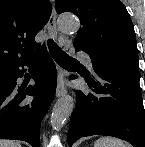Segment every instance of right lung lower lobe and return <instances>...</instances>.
I'll use <instances>...</instances> for the list:
<instances>
[{
  "mask_svg": "<svg viewBox=\"0 0 145 147\" xmlns=\"http://www.w3.org/2000/svg\"><path fill=\"white\" fill-rule=\"evenodd\" d=\"M33 67L35 85L17 88L16 80L25 69ZM55 64L47 53L40 52L11 67L0 70V139L23 140L33 147L40 145V124L56 91ZM27 96L34 99L27 102Z\"/></svg>",
  "mask_w": 145,
  "mask_h": 147,
  "instance_id": "1",
  "label": "right lung lower lobe"
}]
</instances>
